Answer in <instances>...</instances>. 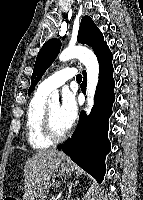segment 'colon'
Listing matches in <instances>:
<instances>
[{
	"mask_svg": "<svg viewBox=\"0 0 143 200\" xmlns=\"http://www.w3.org/2000/svg\"><path fill=\"white\" fill-rule=\"evenodd\" d=\"M5 200H16L14 197H6Z\"/></svg>",
	"mask_w": 143,
	"mask_h": 200,
	"instance_id": "5ec220e1",
	"label": "colon"
}]
</instances>
